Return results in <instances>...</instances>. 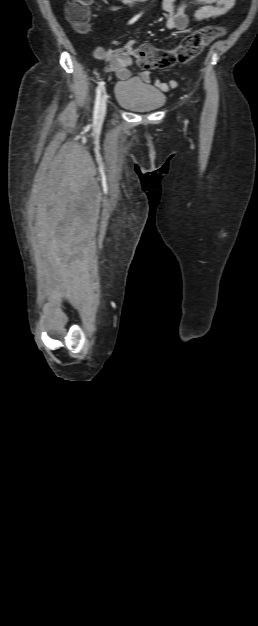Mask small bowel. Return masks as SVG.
Masks as SVG:
<instances>
[{
  "instance_id": "c3829d8e",
  "label": "small bowel",
  "mask_w": 258,
  "mask_h": 626,
  "mask_svg": "<svg viewBox=\"0 0 258 626\" xmlns=\"http://www.w3.org/2000/svg\"><path fill=\"white\" fill-rule=\"evenodd\" d=\"M236 0H163L162 8L166 13V26L168 29L183 32L190 23V17L186 9L196 6L192 19L203 21L217 18L226 14L235 4ZM102 58L107 62V70L114 72L118 78L124 80L129 76L128 65L130 57L126 50L107 49L102 52ZM144 82L151 81V74L145 71L141 74ZM155 86L164 92L178 86L177 81L170 80L168 83L159 80L154 81Z\"/></svg>"
}]
</instances>
